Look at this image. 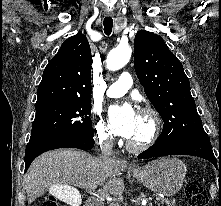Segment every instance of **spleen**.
Masks as SVG:
<instances>
[{
    "label": "spleen",
    "instance_id": "1",
    "mask_svg": "<svg viewBox=\"0 0 221 206\" xmlns=\"http://www.w3.org/2000/svg\"><path fill=\"white\" fill-rule=\"evenodd\" d=\"M210 195H211V197L213 199L216 196V191L214 189L211 190Z\"/></svg>",
    "mask_w": 221,
    "mask_h": 206
}]
</instances>
